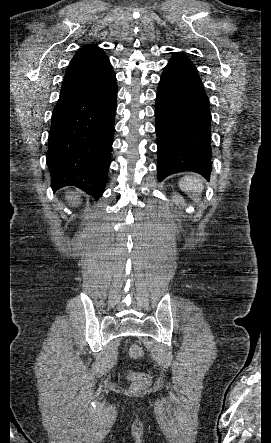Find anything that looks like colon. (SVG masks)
Instances as JSON below:
<instances>
[{"mask_svg":"<svg viewBox=\"0 0 271 443\" xmlns=\"http://www.w3.org/2000/svg\"><path fill=\"white\" fill-rule=\"evenodd\" d=\"M128 357L133 360H139L143 356V350L138 344H131L127 351ZM128 378L131 381V388L133 391H141L147 388L150 384V376L141 371H129Z\"/></svg>","mask_w":271,"mask_h":443,"instance_id":"1","label":"colon"}]
</instances>
